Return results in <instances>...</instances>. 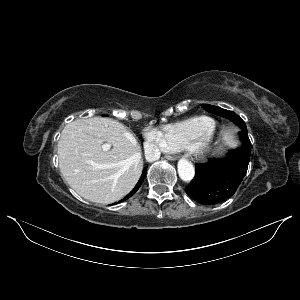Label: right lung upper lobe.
<instances>
[{
    "label": "right lung upper lobe",
    "instance_id": "obj_1",
    "mask_svg": "<svg viewBox=\"0 0 300 300\" xmlns=\"http://www.w3.org/2000/svg\"><path fill=\"white\" fill-rule=\"evenodd\" d=\"M138 190V185L135 186L134 190L130 193L131 195H134Z\"/></svg>",
    "mask_w": 300,
    "mask_h": 300
}]
</instances>
